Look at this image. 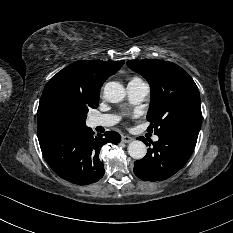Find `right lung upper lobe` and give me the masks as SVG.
<instances>
[{
  "label": "right lung upper lobe",
  "instance_id": "obj_1",
  "mask_svg": "<svg viewBox=\"0 0 233 233\" xmlns=\"http://www.w3.org/2000/svg\"><path fill=\"white\" fill-rule=\"evenodd\" d=\"M124 61H78L54 75L45 88L62 86L88 100L99 98L105 80L117 72Z\"/></svg>",
  "mask_w": 233,
  "mask_h": 233
}]
</instances>
